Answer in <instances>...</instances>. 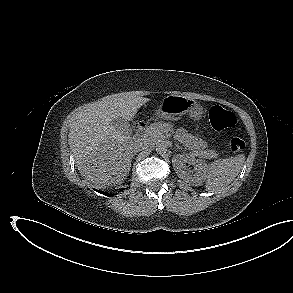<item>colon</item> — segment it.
I'll use <instances>...</instances> for the list:
<instances>
[{
  "instance_id": "5ec220e1",
  "label": "colon",
  "mask_w": 293,
  "mask_h": 293,
  "mask_svg": "<svg viewBox=\"0 0 293 293\" xmlns=\"http://www.w3.org/2000/svg\"><path fill=\"white\" fill-rule=\"evenodd\" d=\"M209 119L212 127L220 132L232 128L237 122V118L233 112L219 105H215L210 109ZM245 146V142L238 137H233L229 142V149L232 153L242 151Z\"/></svg>"
}]
</instances>
